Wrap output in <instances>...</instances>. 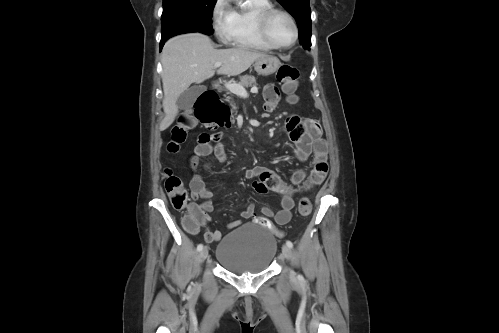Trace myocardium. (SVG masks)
Instances as JSON below:
<instances>
[{"instance_id":"f54148a6","label":"myocardium","mask_w":499,"mask_h":333,"mask_svg":"<svg viewBox=\"0 0 499 333\" xmlns=\"http://www.w3.org/2000/svg\"><path fill=\"white\" fill-rule=\"evenodd\" d=\"M274 14H282V15L286 16L292 25L293 39L287 45L276 44L274 42V40L272 39V37L270 36L269 30H268V25H269L271 17ZM257 25H258L259 32H260L261 36L263 37V39L270 46H272L274 49H288V48L292 47L298 39L299 31H298L297 23H296L293 15L285 9H282L279 7H274V6H271V7L264 9L263 11H261L259 13V15L257 17Z\"/></svg>"}]
</instances>
